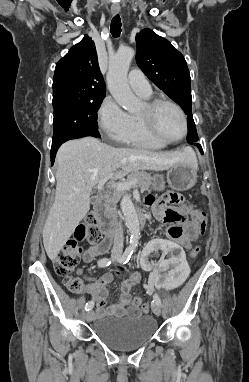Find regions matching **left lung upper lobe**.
<instances>
[{
	"mask_svg": "<svg viewBox=\"0 0 249 382\" xmlns=\"http://www.w3.org/2000/svg\"><path fill=\"white\" fill-rule=\"evenodd\" d=\"M136 61L145 75L188 115L187 142L198 141L191 113L190 74L183 55L150 29L136 35Z\"/></svg>",
	"mask_w": 249,
	"mask_h": 382,
	"instance_id": "1",
	"label": "left lung upper lobe"
}]
</instances>
